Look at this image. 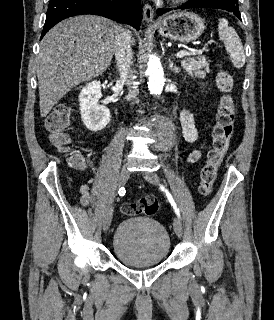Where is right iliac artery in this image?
<instances>
[{
  "label": "right iliac artery",
  "mask_w": 274,
  "mask_h": 320,
  "mask_svg": "<svg viewBox=\"0 0 274 320\" xmlns=\"http://www.w3.org/2000/svg\"><path fill=\"white\" fill-rule=\"evenodd\" d=\"M118 193H119L120 196H124L125 193H126V190L122 187V188L119 189Z\"/></svg>",
  "instance_id": "1"
}]
</instances>
